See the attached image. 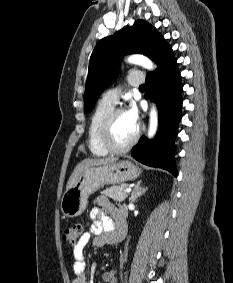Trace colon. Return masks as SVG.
Wrapping results in <instances>:
<instances>
[{
    "instance_id": "colon-1",
    "label": "colon",
    "mask_w": 233,
    "mask_h": 283,
    "mask_svg": "<svg viewBox=\"0 0 233 283\" xmlns=\"http://www.w3.org/2000/svg\"><path fill=\"white\" fill-rule=\"evenodd\" d=\"M83 231L81 223L77 222L67 227L63 232V239L70 244H76L80 239Z\"/></svg>"
}]
</instances>
